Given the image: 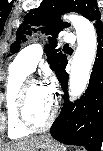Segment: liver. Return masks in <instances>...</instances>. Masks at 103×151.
<instances>
[{"label": "liver", "mask_w": 103, "mask_h": 151, "mask_svg": "<svg viewBox=\"0 0 103 151\" xmlns=\"http://www.w3.org/2000/svg\"><path fill=\"white\" fill-rule=\"evenodd\" d=\"M39 137H33L27 140L19 141L8 146L4 151H33V148Z\"/></svg>", "instance_id": "6515ba94"}]
</instances>
